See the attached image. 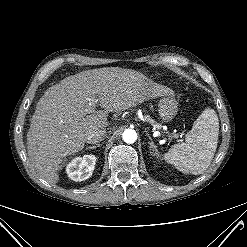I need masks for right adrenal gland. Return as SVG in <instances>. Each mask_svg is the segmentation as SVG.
<instances>
[{
	"instance_id": "right-adrenal-gland-1",
	"label": "right adrenal gland",
	"mask_w": 247,
	"mask_h": 247,
	"mask_svg": "<svg viewBox=\"0 0 247 247\" xmlns=\"http://www.w3.org/2000/svg\"><path fill=\"white\" fill-rule=\"evenodd\" d=\"M98 147H100V144H97L96 146H88L86 149L88 150V149H96V148H98Z\"/></svg>"
}]
</instances>
